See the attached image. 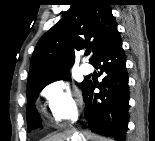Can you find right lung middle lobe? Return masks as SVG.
<instances>
[{"label": "right lung middle lobe", "mask_w": 155, "mask_h": 141, "mask_svg": "<svg viewBox=\"0 0 155 141\" xmlns=\"http://www.w3.org/2000/svg\"><path fill=\"white\" fill-rule=\"evenodd\" d=\"M68 73H62L50 78H47L45 80H42L41 82H38L31 87L27 88V129L28 131H31L32 129L38 127L41 124V120L38 117L36 110L34 108L35 100L40 93V91L49 83H52L56 80L60 79H67ZM86 81H83L80 84V88L84 85Z\"/></svg>", "instance_id": "obj_1"}]
</instances>
